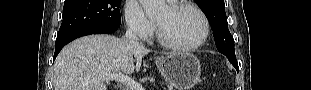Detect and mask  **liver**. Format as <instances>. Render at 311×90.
Returning a JSON list of instances; mask_svg holds the SVG:
<instances>
[{"label": "liver", "mask_w": 311, "mask_h": 90, "mask_svg": "<svg viewBox=\"0 0 311 90\" xmlns=\"http://www.w3.org/2000/svg\"><path fill=\"white\" fill-rule=\"evenodd\" d=\"M150 52L140 43L110 35H90L65 46L54 64L55 90H107L103 74L138 72ZM134 61L136 64H134Z\"/></svg>", "instance_id": "obj_1"}]
</instances>
